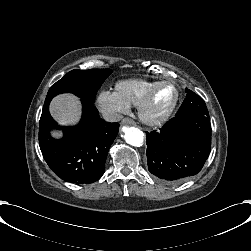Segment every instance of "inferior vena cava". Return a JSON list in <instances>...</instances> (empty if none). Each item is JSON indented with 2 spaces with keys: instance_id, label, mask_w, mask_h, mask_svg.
I'll return each mask as SVG.
<instances>
[{
  "instance_id": "602c4592",
  "label": "inferior vena cava",
  "mask_w": 251,
  "mask_h": 251,
  "mask_svg": "<svg viewBox=\"0 0 251 251\" xmlns=\"http://www.w3.org/2000/svg\"><path fill=\"white\" fill-rule=\"evenodd\" d=\"M102 116L107 122H118L123 118L122 114L112 110H103Z\"/></svg>"
}]
</instances>
